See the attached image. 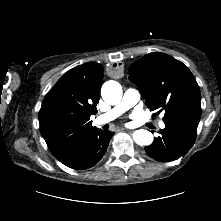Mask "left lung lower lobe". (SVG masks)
I'll return each instance as SVG.
<instances>
[{
    "label": "left lung lower lobe",
    "mask_w": 221,
    "mask_h": 221,
    "mask_svg": "<svg viewBox=\"0 0 221 221\" xmlns=\"http://www.w3.org/2000/svg\"><path fill=\"white\" fill-rule=\"evenodd\" d=\"M200 118L191 117L164 121L160 136L145 147L147 155L159 162H169L185 155L193 146Z\"/></svg>",
    "instance_id": "obj_1"
}]
</instances>
